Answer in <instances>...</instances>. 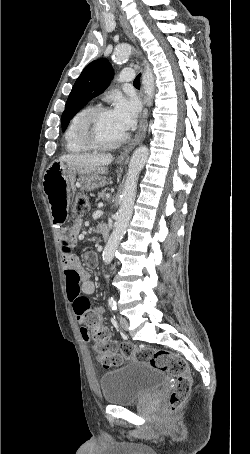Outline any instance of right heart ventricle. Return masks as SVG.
<instances>
[{"label": "right heart ventricle", "instance_id": "e07e8e85", "mask_svg": "<svg viewBox=\"0 0 250 454\" xmlns=\"http://www.w3.org/2000/svg\"><path fill=\"white\" fill-rule=\"evenodd\" d=\"M93 106L88 105L77 111L72 119L70 120L68 127L64 133L65 148L69 153H82L89 150L88 147L81 144L77 137V129L81 118L90 110Z\"/></svg>", "mask_w": 250, "mask_h": 454}]
</instances>
